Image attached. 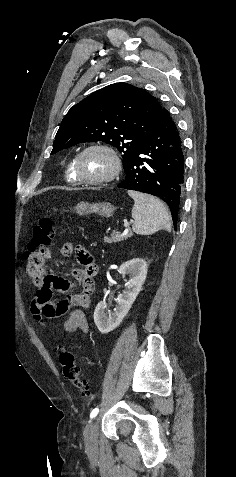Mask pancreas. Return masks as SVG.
Returning a JSON list of instances; mask_svg holds the SVG:
<instances>
[{
  "label": "pancreas",
  "mask_w": 236,
  "mask_h": 477,
  "mask_svg": "<svg viewBox=\"0 0 236 477\" xmlns=\"http://www.w3.org/2000/svg\"><path fill=\"white\" fill-rule=\"evenodd\" d=\"M133 236V233L131 230H129L126 234L123 233H112L110 237L105 236L104 241L107 243H117L123 240H126L127 238H130Z\"/></svg>",
  "instance_id": "pancreas-1"
}]
</instances>
